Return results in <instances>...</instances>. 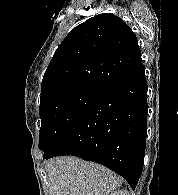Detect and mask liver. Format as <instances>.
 Instances as JSON below:
<instances>
[{
	"mask_svg": "<svg viewBox=\"0 0 178 195\" xmlns=\"http://www.w3.org/2000/svg\"><path fill=\"white\" fill-rule=\"evenodd\" d=\"M45 169L51 195H109L122 183L104 166L73 156L51 159Z\"/></svg>",
	"mask_w": 178,
	"mask_h": 195,
	"instance_id": "1",
	"label": "liver"
}]
</instances>
